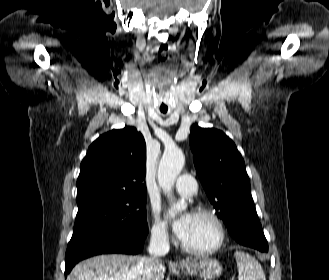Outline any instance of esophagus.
<instances>
[{
	"label": "esophagus",
	"mask_w": 329,
	"mask_h": 280,
	"mask_svg": "<svg viewBox=\"0 0 329 280\" xmlns=\"http://www.w3.org/2000/svg\"><path fill=\"white\" fill-rule=\"evenodd\" d=\"M185 263H186L185 260H181V261H180V264H185Z\"/></svg>",
	"instance_id": "obj_1"
}]
</instances>
